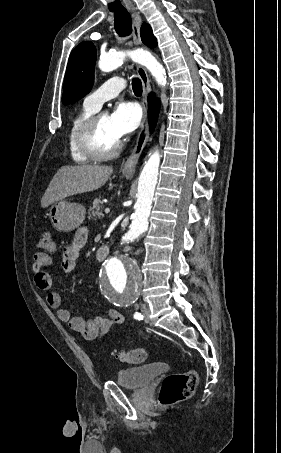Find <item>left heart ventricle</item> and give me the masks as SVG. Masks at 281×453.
Masks as SVG:
<instances>
[{
  "label": "left heart ventricle",
  "instance_id": "left-heart-ventricle-1",
  "mask_svg": "<svg viewBox=\"0 0 281 453\" xmlns=\"http://www.w3.org/2000/svg\"><path fill=\"white\" fill-rule=\"evenodd\" d=\"M119 140L120 138L114 134L111 128L109 116L105 115L101 119L97 129V144L99 148L103 151H109Z\"/></svg>",
  "mask_w": 281,
  "mask_h": 453
}]
</instances>
